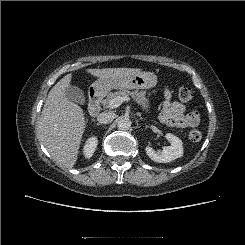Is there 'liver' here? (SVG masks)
Listing matches in <instances>:
<instances>
[{
  "mask_svg": "<svg viewBox=\"0 0 245 245\" xmlns=\"http://www.w3.org/2000/svg\"><path fill=\"white\" fill-rule=\"evenodd\" d=\"M98 78L126 77L141 72L139 68L87 69ZM72 74H67L49 91L38 122V134L53 160L65 168L77 161L83 133L86 128L84 112L67 99L65 90Z\"/></svg>",
  "mask_w": 245,
  "mask_h": 245,
  "instance_id": "1",
  "label": "liver"
}]
</instances>
